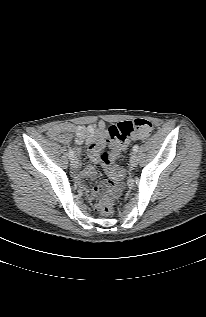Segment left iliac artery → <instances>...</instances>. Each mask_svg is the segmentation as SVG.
<instances>
[{
    "label": "left iliac artery",
    "mask_w": 206,
    "mask_h": 317,
    "mask_svg": "<svg viewBox=\"0 0 206 317\" xmlns=\"http://www.w3.org/2000/svg\"><path fill=\"white\" fill-rule=\"evenodd\" d=\"M138 149H139V146H138V145H134V146H133V151H134V152H137Z\"/></svg>",
    "instance_id": "left-iliac-artery-1"
}]
</instances>
